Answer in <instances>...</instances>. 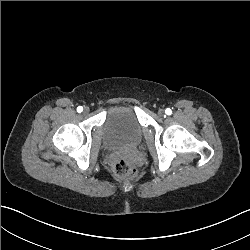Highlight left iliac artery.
Here are the masks:
<instances>
[{
	"label": "left iliac artery",
	"instance_id": "44dca946",
	"mask_svg": "<svg viewBox=\"0 0 250 250\" xmlns=\"http://www.w3.org/2000/svg\"><path fill=\"white\" fill-rule=\"evenodd\" d=\"M165 113H166L167 115H171L172 110H171L170 108H167V109L165 110Z\"/></svg>",
	"mask_w": 250,
	"mask_h": 250
}]
</instances>
